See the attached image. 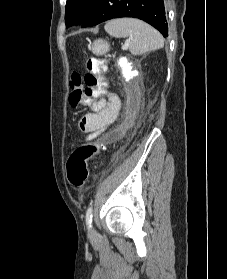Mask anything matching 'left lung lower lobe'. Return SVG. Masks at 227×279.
<instances>
[{
  "label": "left lung lower lobe",
  "mask_w": 227,
  "mask_h": 279,
  "mask_svg": "<svg viewBox=\"0 0 227 279\" xmlns=\"http://www.w3.org/2000/svg\"><path fill=\"white\" fill-rule=\"evenodd\" d=\"M120 17L141 19L168 36L163 0H95L82 27H90L101 22Z\"/></svg>",
  "instance_id": "1"
}]
</instances>
